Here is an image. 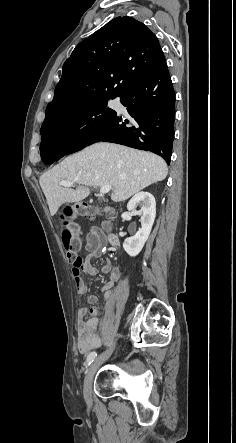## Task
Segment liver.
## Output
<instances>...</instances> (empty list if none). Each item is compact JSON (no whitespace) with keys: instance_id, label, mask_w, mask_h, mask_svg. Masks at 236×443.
Returning a JSON list of instances; mask_svg holds the SVG:
<instances>
[{"instance_id":"1","label":"liver","mask_w":236,"mask_h":443,"mask_svg":"<svg viewBox=\"0 0 236 443\" xmlns=\"http://www.w3.org/2000/svg\"><path fill=\"white\" fill-rule=\"evenodd\" d=\"M168 174L166 162L158 155L126 146L100 142L65 158L40 177L50 214L64 203L84 200L90 187L111 185V199L121 202L147 186L162 181ZM78 184L73 190L61 181Z\"/></svg>"}]
</instances>
